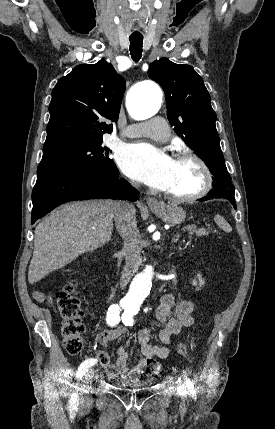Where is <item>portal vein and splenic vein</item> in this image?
Wrapping results in <instances>:
<instances>
[{"label": "portal vein and splenic vein", "instance_id": "1", "mask_svg": "<svg viewBox=\"0 0 275 429\" xmlns=\"http://www.w3.org/2000/svg\"><path fill=\"white\" fill-rule=\"evenodd\" d=\"M186 229H188V230H189V229H190V227H187Z\"/></svg>", "mask_w": 275, "mask_h": 429}]
</instances>
